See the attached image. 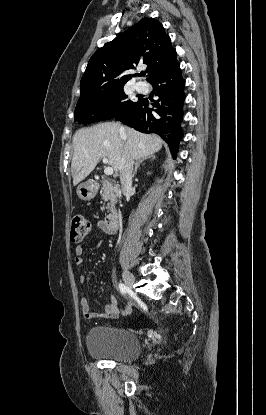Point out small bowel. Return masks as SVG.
I'll list each match as a JSON object with an SVG mask.
<instances>
[{"mask_svg":"<svg viewBox=\"0 0 266 415\" xmlns=\"http://www.w3.org/2000/svg\"><path fill=\"white\" fill-rule=\"evenodd\" d=\"M96 227L98 230L110 232V230L105 226L104 221L100 220L96 223ZM102 241L99 240L96 242V246L100 247ZM83 252L84 246L78 245L74 249L75 258L74 261L77 265H81L83 263ZM80 282L86 283L87 277L85 275L80 276ZM81 311L85 319H116L120 316H127L131 311V304H127L122 308H118L116 299L114 297H109L108 302L105 304L104 312L103 313H96L90 310L89 302L86 298H82L80 300Z\"/></svg>","mask_w":266,"mask_h":415,"instance_id":"small-bowel-1","label":"small bowel"}]
</instances>
